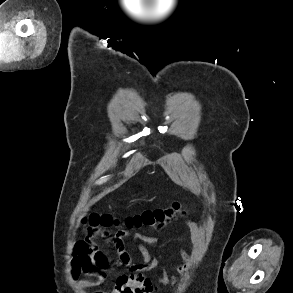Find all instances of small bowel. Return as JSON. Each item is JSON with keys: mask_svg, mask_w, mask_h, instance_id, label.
Here are the masks:
<instances>
[{"mask_svg": "<svg viewBox=\"0 0 293 293\" xmlns=\"http://www.w3.org/2000/svg\"><path fill=\"white\" fill-rule=\"evenodd\" d=\"M185 225L189 230L192 248L191 252L180 248L179 257L182 262L173 267L177 274L185 270L193 257L197 255L199 247V227L192 222H187ZM164 226L152 229L150 232L160 230ZM127 239H131L135 243L142 258L140 264H134L131 261L125 246V240ZM157 243L158 240L147 233H132L128 230L110 233L105 237L88 235L73 245V256L69 270L70 277L76 281L80 289L94 288L103 285L108 274L117 273L119 268L127 267L136 273L118 275L111 289L108 291L98 290L94 293H154L156 285L141 272L158 267V259L152 256L144 245H156ZM80 275H85L87 278L79 280ZM157 281L161 285H170L175 282V277L163 271Z\"/></svg>", "mask_w": 293, "mask_h": 293, "instance_id": "c3829d8e", "label": "small bowel"}]
</instances>
